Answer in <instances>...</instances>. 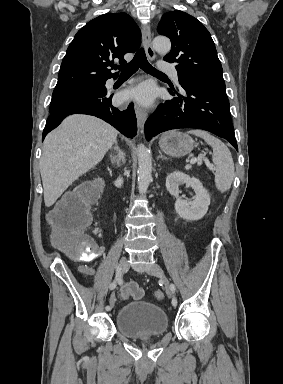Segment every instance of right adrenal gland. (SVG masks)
Instances as JSON below:
<instances>
[{"mask_svg": "<svg viewBox=\"0 0 283 384\" xmlns=\"http://www.w3.org/2000/svg\"><path fill=\"white\" fill-rule=\"evenodd\" d=\"M114 144H115L114 148H110L111 164H113V166H116V168H119V166H122V164H125L126 154H124L121 148H119L117 140L116 142H114ZM112 152H115L116 156H114Z\"/></svg>", "mask_w": 283, "mask_h": 384, "instance_id": "right-adrenal-gland-1", "label": "right adrenal gland"}]
</instances>
